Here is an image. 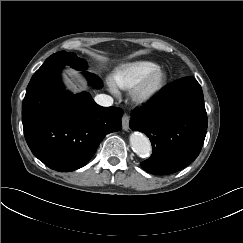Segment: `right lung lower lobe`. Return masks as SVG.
<instances>
[{
    "instance_id": "1",
    "label": "right lung lower lobe",
    "mask_w": 243,
    "mask_h": 243,
    "mask_svg": "<svg viewBox=\"0 0 243 243\" xmlns=\"http://www.w3.org/2000/svg\"><path fill=\"white\" fill-rule=\"evenodd\" d=\"M62 67H40L27 87L22 104L25 139L32 153L49 168L70 172L86 165L103 138L122 128L123 110L102 107L91 95H73L60 81ZM89 75V83L102 87Z\"/></svg>"
}]
</instances>
